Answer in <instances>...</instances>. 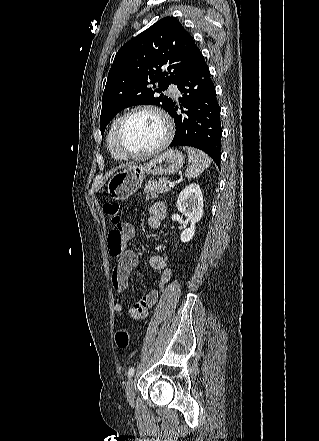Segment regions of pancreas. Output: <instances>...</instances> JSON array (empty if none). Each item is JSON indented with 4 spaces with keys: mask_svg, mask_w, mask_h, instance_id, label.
<instances>
[{
    "mask_svg": "<svg viewBox=\"0 0 319 441\" xmlns=\"http://www.w3.org/2000/svg\"><path fill=\"white\" fill-rule=\"evenodd\" d=\"M168 178H160L158 180L148 181L144 189V194L146 195V200L155 199L159 194L168 192L170 187L168 185Z\"/></svg>",
    "mask_w": 319,
    "mask_h": 441,
    "instance_id": "cf45deb5",
    "label": "pancreas"
}]
</instances>
